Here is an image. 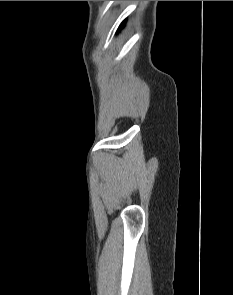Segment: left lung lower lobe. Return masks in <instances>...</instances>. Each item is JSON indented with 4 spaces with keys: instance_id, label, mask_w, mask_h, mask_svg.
<instances>
[{
    "instance_id": "left-lung-lower-lobe-1",
    "label": "left lung lower lobe",
    "mask_w": 233,
    "mask_h": 295,
    "mask_svg": "<svg viewBox=\"0 0 233 295\" xmlns=\"http://www.w3.org/2000/svg\"><path fill=\"white\" fill-rule=\"evenodd\" d=\"M124 26V22H122V24L120 25V27H123Z\"/></svg>"
}]
</instances>
